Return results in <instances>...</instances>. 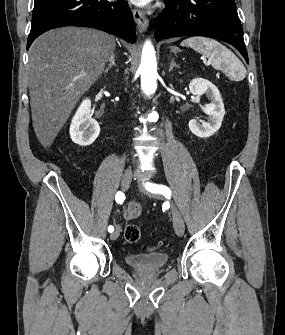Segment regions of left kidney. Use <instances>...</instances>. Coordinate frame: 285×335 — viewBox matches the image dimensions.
Here are the masks:
<instances>
[{"label":"left kidney","mask_w":285,"mask_h":335,"mask_svg":"<svg viewBox=\"0 0 285 335\" xmlns=\"http://www.w3.org/2000/svg\"><path fill=\"white\" fill-rule=\"evenodd\" d=\"M189 90L194 96L207 94L210 100H212L211 104H207L204 108V112L208 116V122L198 124L197 120H190L188 124L189 130H191L192 134L198 136V138H210V136H213L221 128L224 118L225 108L221 94L212 82L203 80V78L192 80L189 84Z\"/></svg>","instance_id":"obj_1"}]
</instances>
